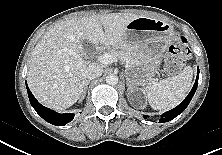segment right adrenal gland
Returning a JSON list of instances; mask_svg holds the SVG:
<instances>
[{
  "label": "right adrenal gland",
  "instance_id": "2a0ac1e0",
  "mask_svg": "<svg viewBox=\"0 0 222 155\" xmlns=\"http://www.w3.org/2000/svg\"><path fill=\"white\" fill-rule=\"evenodd\" d=\"M89 83H90V80H87V81H86V84H85V87H84L83 94H82V96H81V101H82V99H84V97H85L86 90H87V87H88V84H89Z\"/></svg>",
  "mask_w": 222,
  "mask_h": 155
}]
</instances>
